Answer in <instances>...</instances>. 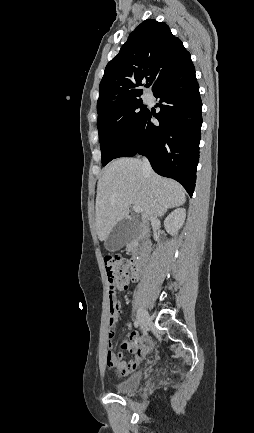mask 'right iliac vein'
<instances>
[{"mask_svg":"<svg viewBox=\"0 0 254 433\" xmlns=\"http://www.w3.org/2000/svg\"><path fill=\"white\" fill-rule=\"evenodd\" d=\"M139 320H140V324H141V329L143 331H146L147 326L150 323V318L148 316V313L144 309H141L139 311Z\"/></svg>","mask_w":254,"mask_h":433,"instance_id":"obj_1","label":"right iliac vein"}]
</instances>
